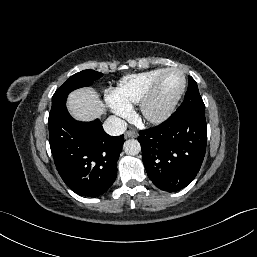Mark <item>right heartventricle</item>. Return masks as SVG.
I'll list each match as a JSON object with an SVG mask.
<instances>
[{
    "instance_id": "obj_1",
    "label": "right heart ventricle",
    "mask_w": 257,
    "mask_h": 257,
    "mask_svg": "<svg viewBox=\"0 0 257 257\" xmlns=\"http://www.w3.org/2000/svg\"><path fill=\"white\" fill-rule=\"evenodd\" d=\"M165 69H153L122 78L117 87L111 92L110 101L121 107L131 109L134 105L140 103L154 80Z\"/></svg>"
}]
</instances>
